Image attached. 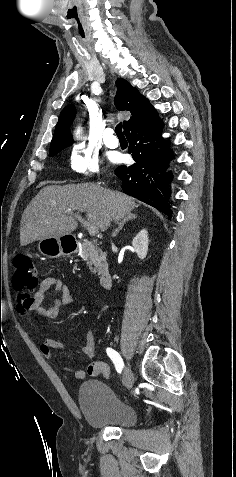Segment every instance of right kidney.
Returning a JSON list of instances; mask_svg holds the SVG:
<instances>
[{
  "instance_id": "right-kidney-1",
  "label": "right kidney",
  "mask_w": 236,
  "mask_h": 477,
  "mask_svg": "<svg viewBox=\"0 0 236 477\" xmlns=\"http://www.w3.org/2000/svg\"><path fill=\"white\" fill-rule=\"evenodd\" d=\"M132 246L140 259H144L148 251V232L141 230L133 239Z\"/></svg>"
}]
</instances>
